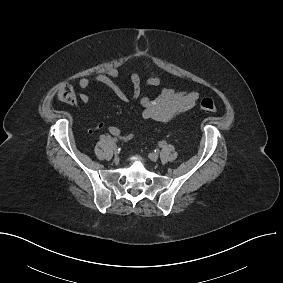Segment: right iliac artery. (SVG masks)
<instances>
[{
  "mask_svg": "<svg viewBox=\"0 0 283 283\" xmlns=\"http://www.w3.org/2000/svg\"><path fill=\"white\" fill-rule=\"evenodd\" d=\"M103 140H105L106 142H109V143H113V144L117 142V139L111 138L110 136L103 137Z\"/></svg>",
  "mask_w": 283,
  "mask_h": 283,
  "instance_id": "1",
  "label": "right iliac artery"
}]
</instances>
